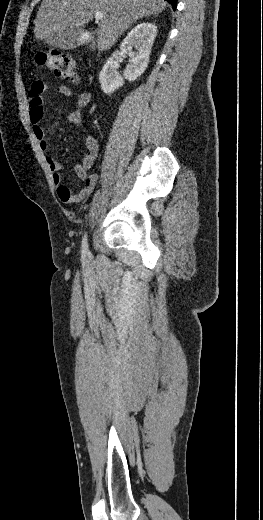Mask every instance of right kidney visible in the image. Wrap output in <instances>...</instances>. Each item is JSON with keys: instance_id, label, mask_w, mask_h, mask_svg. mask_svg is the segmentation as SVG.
<instances>
[{"instance_id": "right-kidney-1", "label": "right kidney", "mask_w": 263, "mask_h": 520, "mask_svg": "<svg viewBox=\"0 0 263 520\" xmlns=\"http://www.w3.org/2000/svg\"><path fill=\"white\" fill-rule=\"evenodd\" d=\"M156 34V25L148 22L138 24L128 33L120 45V52L116 51L112 54L99 74L101 89L104 93L111 94L124 85L125 79L135 81L144 73L149 63ZM133 48L135 51H133ZM119 53H126L130 57L123 77L117 71L118 63L114 61Z\"/></svg>"}]
</instances>
